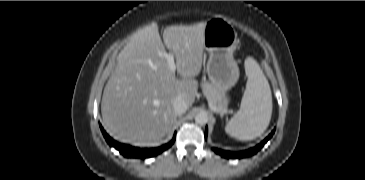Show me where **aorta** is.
Returning <instances> with one entry per match:
<instances>
[{
  "label": "aorta",
  "mask_w": 365,
  "mask_h": 180,
  "mask_svg": "<svg viewBox=\"0 0 365 180\" xmlns=\"http://www.w3.org/2000/svg\"><path fill=\"white\" fill-rule=\"evenodd\" d=\"M195 122L204 125L208 122V115L205 112H200L195 116Z\"/></svg>",
  "instance_id": "obj_1"
}]
</instances>
